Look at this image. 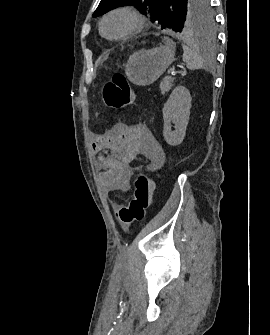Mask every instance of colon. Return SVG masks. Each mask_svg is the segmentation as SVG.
Returning a JSON list of instances; mask_svg holds the SVG:
<instances>
[{
	"label": "colon",
	"mask_w": 270,
	"mask_h": 335,
	"mask_svg": "<svg viewBox=\"0 0 270 335\" xmlns=\"http://www.w3.org/2000/svg\"><path fill=\"white\" fill-rule=\"evenodd\" d=\"M103 97L106 103L117 109L130 105L133 93L126 76L122 73L113 75L103 88ZM152 189V178L144 173L139 174L130 201L117 206V216L123 226H133L146 218L152 201Z\"/></svg>",
	"instance_id": "1"
}]
</instances>
